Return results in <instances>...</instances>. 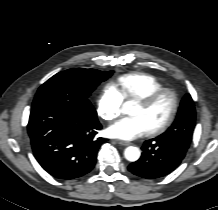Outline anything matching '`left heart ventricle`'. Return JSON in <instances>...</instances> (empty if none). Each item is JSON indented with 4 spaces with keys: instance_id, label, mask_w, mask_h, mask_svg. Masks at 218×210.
Instances as JSON below:
<instances>
[{
    "instance_id": "left-heart-ventricle-1",
    "label": "left heart ventricle",
    "mask_w": 218,
    "mask_h": 210,
    "mask_svg": "<svg viewBox=\"0 0 218 210\" xmlns=\"http://www.w3.org/2000/svg\"><path fill=\"white\" fill-rule=\"evenodd\" d=\"M171 110V99L169 96H164L159 99L151 107H144L140 103L137 104L132 115L144 119L149 130L162 124L168 117Z\"/></svg>"
}]
</instances>
